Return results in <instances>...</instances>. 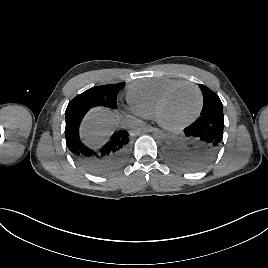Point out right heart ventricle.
<instances>
[{"label":"right heart ventricle","instance_id":"obj_1","mask_svg":"<svg viewBox=\"0 0 268 268\" xmlns=\"http://www.w3.org/2000/svg\"><path fill=\"white\" fill-rule=\"evenodd\" d=\"M184 82L172 78L143 79L131 84L127 99L131 107L143 113L146 118L154 116L155 108L164 93L176 84Z\"/></svg>","mask_w":268,"mask_h":268}]
</instances>
